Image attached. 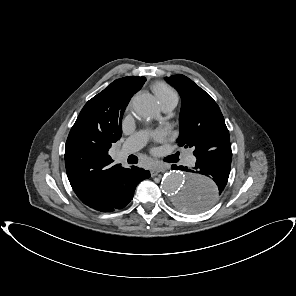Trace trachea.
Here are the masks:
<instances>
[{"label":"trachea","instance_id":"obj_1","mask_svg":"<svg viewBox=\"0 0 296 296\" xmlns=\"http://www.w3.org/2000/svg\"><path fill=\"white\" fill-rule=\"evenodd\" d=\"M127 161L129 164H136L138 162V158L134 155H130Z\"/></svg>","mask_w":296,"mask_h":296}]
</instances>
